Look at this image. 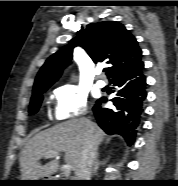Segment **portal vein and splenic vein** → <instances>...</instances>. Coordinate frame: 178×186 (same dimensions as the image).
Masks as SVG:
<instances>
[{
    "mask_svg": "<svg viewBox=\"0 0 178 186\" xmlns=\"http://www.w3.org/2000/svg\"><path fill=\"white\" fill-rule=\"evenodd\" d=\"M59 155H60L59 152H48V153H46L45 157L46 158H53V157H58ZM71 170H72L71 165L65 164L63 167L64 176L65 177L70 176Z\"/></svg>",
    "mask_w": 178,
    "mask_h": 186,
    "instance_id": "18ae733b",
    "label": "portal vein and splenic vein"
}]
</instances>
